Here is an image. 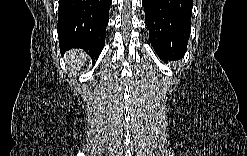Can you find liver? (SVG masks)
Wrapping results in <instances>:
<instances>
[{"instance_id":"6515ba94","label":"liver","mask_w":247,"mask_h":156,"mask_svg":"<svg viewBox=\"0 0 247 156\" xmlns=\"http://www.w3.org/2000/svg\"><path fill=\"white\" fill-rule=\"evenodd\" d=\"M86 61V55L81 50L73 49L67 55V64L72 68L81 67Z\"/></svg>"}]
</instances>
